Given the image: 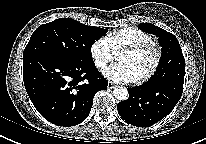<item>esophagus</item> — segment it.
<instances>
[{"label":"esophagus","mask_w":206,"mask_h":144,"mask_svg":"<svg viewBox=\"0 0 206 144\" xmlns=\"http://www.w3.org/2000/svg\"><path fill=\"white\" fill-rule=\"evenodd\" d=\"M107 86H108L109 89H113V88L116 87V85L111 81L108 82Z\"/></svg>","instance_id":"esophagus-1"}]
</instances>
